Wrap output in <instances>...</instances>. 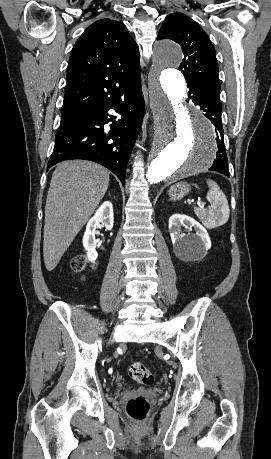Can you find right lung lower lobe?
<instances>
[{
	"label": "right lung lower lobe",
	"mask_w": 271,
	"mask_h": 459,
	"mask_svg": "<svg viewBox=\"0 0 271 459\" xmlns=\"http://www.w3.org/2000/svg\"><path fill=\"white\" fill-rule=\"evenodd\" d=\"M110 109L121 115L108 114ZM144 115L141 79L92 102V106L61 118L47 170L58 162L84 159L111 170L123 183L126 166ZM110 131L104 130L108 122Z\"/></svg>",
	"instance_id": "right-lung-lower-lobe-1"
}]
</instances>
